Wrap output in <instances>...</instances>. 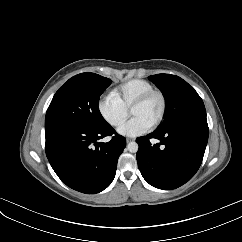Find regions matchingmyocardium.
<instances>
[{
    "label": "myocardium",
    "instance_id": "f54148a6",
    "mask_svg": "<svg viewBox=\"0 0 242 242\" xmlns=\"http://www.w3.org/2000/svg\"><path fill=\"white\" fill-rule=\"evenodd\" d=\"M157 96L159 97L160 101H161V110H160V114L157 118V120L150 126V128L154 129L156 127H158L162 121L164 120L165 114H166V110H167V99L165 94L157 89H152L146 93H144L142 96H140L138 99H136L133 104L130 107V114L131 112L139 107L142 106L143 104H145L148 100H150L152 97Z\"/></svg>",
    "mask_w": 242,
    "mask_h": 242
}]
</instances>
